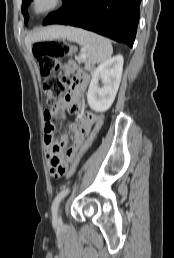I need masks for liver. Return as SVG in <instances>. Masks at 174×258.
<instances>
[{
    "label": "liver",
    "mask_w": 174,
    "mask_h": 258,
    "mask_svg": "<svg viewBox=\"0 0 174 258\" xmlns=\"http://www.w3.org/2000/svg\"><path fill=\"white\" fill-rule=\"evenodd\" d=\"M65 27L61 26H53L49 27L39 33L33 34V35H28L26 37V45L30 48L31 43L33 41H38V40H46V39H55V38H60L65 36Z\"/></svg>",
    "instance_id": "obj_1"
}]
</instances>
